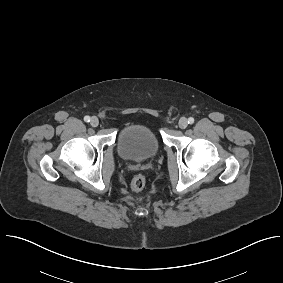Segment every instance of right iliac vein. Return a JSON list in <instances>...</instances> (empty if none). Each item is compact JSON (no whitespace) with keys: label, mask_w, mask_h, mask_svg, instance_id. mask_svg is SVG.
Instances as JSON below:
<instances>
[{"label":"right iliac vein","mask_w":283,"mask_h":283,"mask_svg":"<svg viewBox=\"0 0 283 283\" xmlns=\"http://www.w3.org/2000/svg\"><path fill=\"white\" fill-rule=\"evenodd\" d=\"M90 124L93 126V127H97L98 124H99V120L97 117H92L91 120H90Z\"/></svg>","instance_id":"63e3f726"}]
</instances>
